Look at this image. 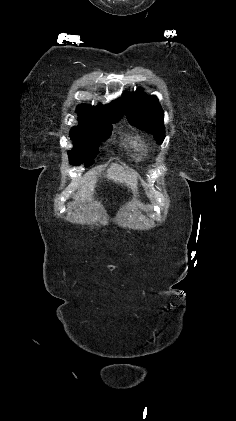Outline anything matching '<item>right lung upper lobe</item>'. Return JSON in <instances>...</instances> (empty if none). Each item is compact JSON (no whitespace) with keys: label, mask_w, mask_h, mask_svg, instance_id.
I'll return each mask as SVG.
<instances>
[{"label":"right lung upper lobe","mask_w":236,"mask_h":421,"mask_svg":"<svg viewBox=\"0 0 236 421\" xmlns=\"http://www.w3.org/2000/svg\"><path fill=\"white\" fill-rule=\"evenodd\" d=\"M124 98L122 99H118L113 101L110 105L108 106H98V107H93L91 105H87V104H81L77 107V110H85V109H98V110H119V111H124Z\"/></svg>","instance_id":"obj_1"}]
</instances>
